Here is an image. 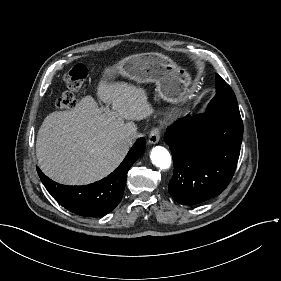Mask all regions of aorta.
Returning <instances> with one entry per match:
<instances>
[{"label":"aorta","instance_id":"aorta-1","mask_svg":"<svg viewBox=\"0 0 281 281\" xmlns=\"http://www.w3.org/2000/svg\"><path fill=\"white\" fill-rule=\"evenodd\" d=\"M151 161L161 170L168 169L171 165V156L168 150L162 146H156L152 149L150 155Z\"/></svg>","mask_w":281,"mask_h":281}]
</instances>
